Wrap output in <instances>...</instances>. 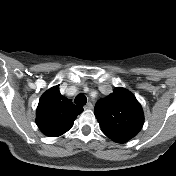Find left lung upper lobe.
<instances>
[{"instance_id": "left-lung-upper-lobe-1", "label": "left lung upper lobe", "mask_w": 176, "mask_h": 176, "mask_svg": "<svg viewBox=\"0 0 176 176\" xmlns=\"http://www.w3.org/2000/svg\"><path fill=\"white\" fill-rule=\"evenodd\" d=\"M95 116L103 133L112 141L125 143L136 136L144 124V113L135 96L125 88H115L95 106Z\"/></svg>"}]
</instances>
